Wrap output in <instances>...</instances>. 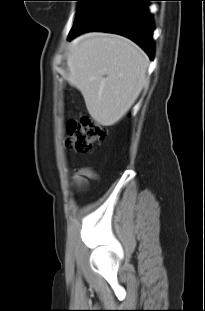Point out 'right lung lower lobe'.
<instances>
[{
	"mask_svg": "<svg viewBox=\"0 0 205 311\" xmlns=\"http://www.w3.org/2000/svg\"><path fill=\"white\" fill-rule=\"evenodd\" d=\"M147 1L150 0H90L73 25L69 40L87 31L116 33L133 40L152 60L154 26Z\"/></svg>",
	"mask_w": 205,
	"mask_h": 311,
	"instance_id": "obj_1",
	"label": "right lung lower lobe"
}]
</instances>
